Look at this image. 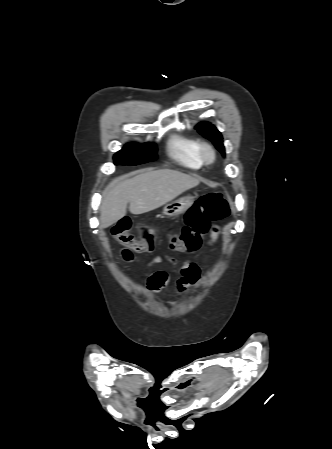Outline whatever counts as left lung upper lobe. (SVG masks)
<instances>
[{"instance_id": "1", "label": "left lung upper lobe", "mask_w": 332, "mask_h": 449, "mask_svg": "<svg viewBox=\"0 0 332 449\" xmlns=\"http://www.w3.org/2000/svg\"><path fill=\"white\" fill-rule=\"evenodd\" d=\"M196 129L202 134L205 138L211 140L216 148L225 155V149L223 146L222 136L220 132L210 123L201 122L196 126Z\"/></svg>"}]
</instances>
